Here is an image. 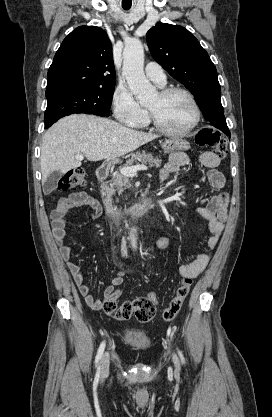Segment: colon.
Returning a JSON list of instances; mask_svg holds the SVG:
<instances>
[{"label":"colon","instance_id":"obj_1","mask_svg":"<svg viewBox=\"0 0 272 417\" xmlns=\"http://www.w3.org/2000/svg\"><path fill=\"white\" fill-rule=\"evenodd\" d=\"M195 142L198 146L209 147L219 158H224L227 153L226 139L218 132L210 128H203L195 136ZM85 184L84 171L74 169L66 173L58 182L59 191H67ZM170 240L166 237H160L156 241V247L160 250L169 248ZM191 279L183 278L176 288L167 308L164 309L162 316L164 320H172L179 313L185 298L188 296L191 288ZM121 295V289H116L112 295L105 299L103 309L105 313L114 317L116 320L123 321L134 316L141 322H148L153 319L156 313L158 296L155 292H150L146 297H137L133 300L125 301L121 305L117 300Z\"/></svg>","mask_w":272,"mask_h":417}]
</instances>
